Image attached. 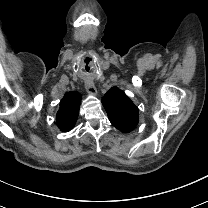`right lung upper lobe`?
I'll return each instance as SVG.
<instances>
[{
	"label": "right lung upper lobe",
	"instance_id": "right-lung-upper-lobe-1",
	"mask_svg": "<svg viewBox=\"0 0 208 208\" xmlns=\"http://www.w3.org/2000/svg\"><path fill=\"white\" fill-rule=\"evenodd\" d=\"M81 95L78 92H68L60 102L56 115L57 126L64 132L70 131L78 118Z\"/></svg>",
	"mask_w": 208,
	"mask_h": 208
}]
</instances>
